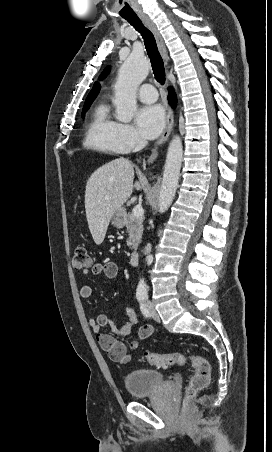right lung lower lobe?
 I'll return each instance as SVG.
<instances>
[{"label": "right lung lower lobe", "mask_w": 272, "mask_h": 452, "mask_svg": "<svg viewBox=\"0 0 272 452\" xmlns=\"http://www.w3.org/2000/svg\"><path fill=\"white\" fill-rule=\"evenodd\" d=\"M168 99H169L170 104L172 106H174L175 103H176V96H175L174 92L171 89L169 90V98Z\"/></svg>", "instance_id": "98d812e1"}]
</instances>
